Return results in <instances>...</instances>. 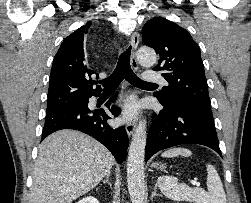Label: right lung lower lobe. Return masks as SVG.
<instances>
[{
	"label": "right lung lower lobe",
	"instance_id": "right-lung-lower-lobe-1",
	"mask_svg": "<svg viewBox=\"0 0 251 203\" xmlns=\"http://www.w3.org/2000/svg\"><path fill=\"white\" fill-rule=\"evenodd\" d=\"M99 94L100 92L91 94L79 102L47 111L42 140L58 130H79L101 142L111 151L117 162L121 163L127 155L128 136L124 127L113 128L107 123L111 117L103 109L88 108V99ZM115 98L114 96L111 101ZM106 106L110 109L109 102ZM110 111L115 117L120 114V108L116 106Z\"/></svg>",
	"mask_w": 251,
	"mask_h": 203
}]
</instances>
